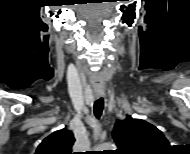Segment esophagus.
Returning a JSON list of instances; mask_svg holds the SVG:
<instances>
[{
	"label": "esophagus",
	"mask_w": 190,
	"mask_h": 154,
	"mask_svg": "<svg viewBox=\"0 0 190 154\" xmlns=\"http://www.w3.org/2000/svg\"><path fill=\"white\" fill-rule=\"evenodd\" d=\"M104 93H105L104 90H97V91H95V95H96L97 97L103 96Z\"/></svg>",
	"instance_id": "1"
}]
</instances>
